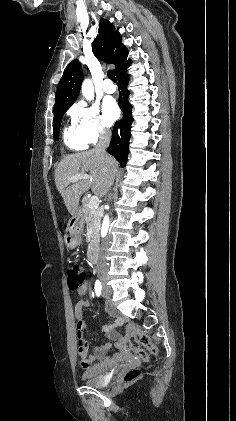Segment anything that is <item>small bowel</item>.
<instances>
[{"label": "small bowel", "mask_w": 236, "mask_h": 421, "mask_svg": "<svg viewBox=\"0 0 236 421\" xmlns=\"http://www.w3.org/2000/svg\"><path fill=\"white\" fill-rule=\"evenodd\" d=\"M87 291H88V287H87V285H84V287L79 291V295L82 296V297H84L86 295ZM88 306H90V301L87 300V299L80 300L76 304V306H75V316H76L77 321H78V327H80V326L83 327L84 326V322L82 320V308L83 307H88ZM78 333L80 335V331ZM82 343L84 344L83 341H82ZM80 356H81V359H80V365H81V367L84 368V369H86V370H88L87 373L93 371V368H90V365H91V357L90 358H87L86 357L85 350H83L82 352H80Z\"/></svg>", "instance_id": "c3829d8e"}]
</instances>
